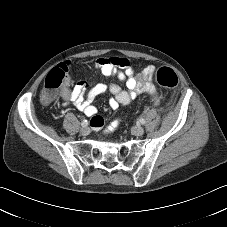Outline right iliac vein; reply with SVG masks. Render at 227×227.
<instances>
[{
    "instance_id": "right-iliac-vein-1",
    "label": "right iliac vein",
    "mask_w": 227,
    "mask_h": 227,
    "mask_svg": "<svg viewBox=\"0 0 227 227\" xmlns=\"http://www.w3.org/2000/svg\"><path fill=\"white\" fill-rule=\"evenodd\" d=\"M80 133H81L83 136H86V135H88V134L90 133V130H89V128L86 126V127L81 128Z\"/></svg>"
}]
</instances>
